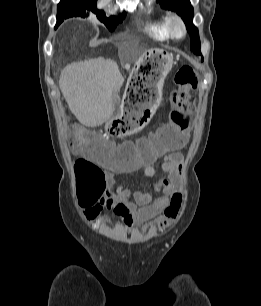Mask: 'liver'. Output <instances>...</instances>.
Returning <instances> with one entry per match:
<instances>
[{
    "label": "liver",
    "mask_w": 261,
    "mask_h": 306,
    "mask_svg": "<svg viewBox=\"0 0 261 306\" xmlns=\"http://www.w3.org/2000/svg\"><path fill=\"white\" fill-rule=\"evenodd\" d=\"M124 78L111 60L96 58L68 64L59 79L61 92L75 117L95 127L109 120L115 111Z\"/></svg>",
    "instance_id": "obj_1"
}]
</instances>
